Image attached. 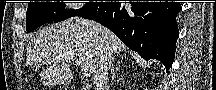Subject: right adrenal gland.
<instances>
[{
	"label": "right adrenal gland",
	"mask_w": 216,
	"mask_h": 90,
	"mask_svg": "<svg viewBox=\"0 0 216 90\" xmlns=\"http://www.w3.org/2000/svg\"><path fill=\"white\" fill-rule=\"evenodd\" d=\"M112 62H114V60H112ZM109 68L111 70V80L113 82V80H115V76H116V72H117L118 68H116V70H115V68H114L113 64H111V62L109 64Z\"/></svg>",
	"instance_id": "obj_1"
}]
</instances>
